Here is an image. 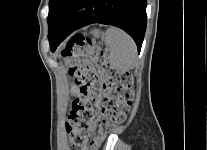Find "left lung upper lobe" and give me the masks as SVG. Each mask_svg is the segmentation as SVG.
<instances>
[{
    "label": "left lung upper lobe",
    "mask_w": 207,
    "mask_h": 150,
    "mask_svg": "<svg viewBox=\"0 0 207 150\" xmlns=\"http://www.w3.org/2000/svg\"><path fill=\"white\" fill-rule=\"evenodd\" d=\"M69 0H50L49 1V15H48V29L57 21L59 15L61 14L64 6Z\"/></svg>",
    "instance_id": "left-lung-upper-lobe-1"
}]
</instances>
